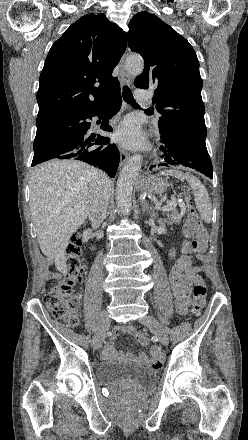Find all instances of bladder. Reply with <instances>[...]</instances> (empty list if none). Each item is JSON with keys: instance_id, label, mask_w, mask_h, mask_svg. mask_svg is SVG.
Masks as SVG:
<instances>
[{"instance_id": "obj_1", "label": "bladder", "mask_w": 248, "mask_h": 440, "mask_svg": "<svg viewBox=\"0 0 248 440\" xmlns=\"http://www.w3.org/2000/svg\"><path fill=\"white\" fill-rule=\"evenodd\" d=\"M95 370L103 384L117 391L140 392L151 387L157 378L155 370L129 363L103 361Z\"/></svg>"}]
</instances>
